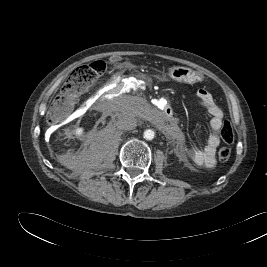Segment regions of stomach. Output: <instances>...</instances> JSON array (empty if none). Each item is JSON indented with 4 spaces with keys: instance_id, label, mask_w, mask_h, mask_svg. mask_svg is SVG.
Returning a JSON list of instances; mask_svg holds the SVG:
<instances>
[{
    "instance_id": "0dacf381",
    "label": "stomach",
    "mask_w": 267,
    "mask_h": 267,
    "mask_svg": "<svg viewBox=\"0 0 267 267\" xmlns=\"http://www.w3.org/2000/svg\"><path fill=\"white\" fill-rule=\"evenodd\" d=\"M169 76L178 82L193 84L202 80V76L188 67L174 66L169 70Z\"/></svg>"
}]
</instances>
